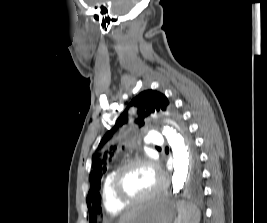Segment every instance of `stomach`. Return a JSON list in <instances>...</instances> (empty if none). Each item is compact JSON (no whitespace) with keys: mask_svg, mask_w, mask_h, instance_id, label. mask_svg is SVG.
<instances>
[{"mask_svg":"<svg viewBox=\"0 0 267 223\" xmlns=\"http://www.w3.org/2000/svg\"><path fill=\"white\" fill-rule=\"evenodd\" d=\"M176 209L168 196H159L139 205L125 223H173Z\"/></svg>","mask_w":267,"mask_h":223,"instance_id":"0dacf381","label":"stomach"}]
</instances>
